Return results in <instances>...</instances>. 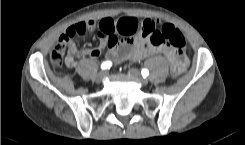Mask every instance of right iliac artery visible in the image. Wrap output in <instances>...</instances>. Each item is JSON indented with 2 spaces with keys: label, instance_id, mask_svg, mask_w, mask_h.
<instances>
[{
  "label": "right iliac artery",
  "instance_id": "1",
  "mask_svg": "<svg viewBox=\"0 0 245 145\" xmlns=\"http://www.w3.org/2000/svg\"><path fill=\"white\" fill-rule=\"evenodd\" d=\"M112 66V63L110 61H105L101 64V68L103 70H107L110 69V67Z\"/></svg>",
  "mask_w": 245,
  "mask_h": 145
}]
</instances>
